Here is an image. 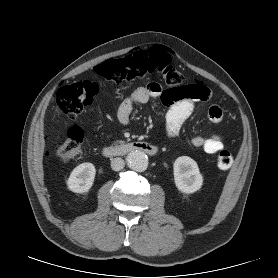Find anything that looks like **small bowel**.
Returning <instances> with one entry per match:
<instances>
[{
    "label": "small bowel",
    "mask_w": 278,
    "mask_h": 278,
    "mask_svg": "<svg viewBox=\"0 0 278 278\" xmlns=\"http://www.w3.org/2000/svg\"><path fill=\"white\" fill-rule=\"evenodd\" d=\"M201 85V84H200ZM203 96L200 99L180 98L172 99L169 90H163L161 85L152 82L147 86L136 88L131 95L119 105L117 116L122 124H128L130 114L135 104H145L151 98H160L164 103L169 104L170 108L166 117V134L169 137L178 135L183 123L191 116L195 108L196 100H207L211 93L210 90L201 85ZM208 118L213 123H218L223 118V111L218 105H211L208 109ZM223 136L214 134L210 136H195L190 139L191 145L201 148L204 152L214 154L223 148Z\"/></svg>",
    "instance_id": "obj_1"
}]
</instances>
